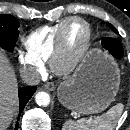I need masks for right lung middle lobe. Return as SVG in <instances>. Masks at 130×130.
<instances>
[{"mask_svg":"<svg viewBox=\"0 0 130 130\" xmlns=\"http://www.w3.org/2000/svg\"><path fill=\"white\" fill-rule=\"evenodd\" d=\"M19 22L9 14H0V47L12 52L18 38Z\"/></svg>","mask_w":130,"mask_h":130,"instance_id":"1","label":"right lung middle lobe"}]
</instances>
